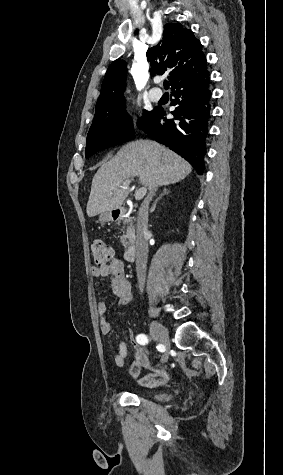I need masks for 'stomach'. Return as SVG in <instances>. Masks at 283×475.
Segmentation results:
<instances>
[{
	"label": "stomach",
	"instance_id": "0dacf381",
	"mask_svg": "<svg viewBox=\"0 0 283 475\" xmlns=\"http://www.w3.org/2000/svg\"><path fill=\"white\" fill-rule=\"evenodd\" d=\"M99 222L104 224V222H111V212H102L99 216Z\"/></svg>",
	"mask_w": 283,
	"mask_h": 475
}]
</instances>
